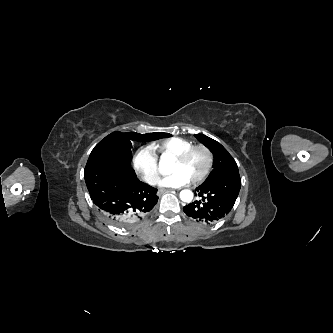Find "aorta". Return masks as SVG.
Here are the masks:
<instances>
[{"label": "aorta", "instance_id": "aorta-1", "mask_svg": "<svg viewBox=\"0 0 333 333\" xmlns=\"http://www.w3.org/2000/svg\"><path fill=\"white\" fill-rule=\"evenodd\" d=\"M160 172L163 173V174H167V169L165 167V163L164 162H160ZM180 199L183 201V202H187V203H190L193 199V193L192 191L188 190V189H185V190H182L180 192Z\"/></svg>", "mask_w": 333, "mask_h": 333}]
</instances>
